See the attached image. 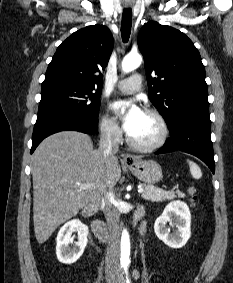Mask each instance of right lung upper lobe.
Listing matches in <instances>:
<instances>
[{
	"label": "right lung upper lobe",
	"instance_id": "1",
	"mask_svg": "<svg viewBox=\"0 0 233 283\" xmlns=\"http://www.w3.org/2000/svg\"><path fill=\"white\" fill-rule=\"evenodd\" d=\"M112 50L113 37L106 26L80 29L59 45L43 83L66 82L100 90Z\"/></svg>",
	"mask_w": 233,
	"mask_h": 283
}]
</instances>
